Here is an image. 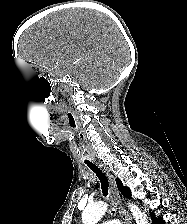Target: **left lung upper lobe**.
<instances>
[{
	"instance_id": "obj_1",
	"label": "left lung upper lobe",
	"mask_w": 187,
	"mask_h": 224,
	"mask_svg": "<svg viewBox=\"0 0 187 224\" xmlns=\"http://www.w3.org/2000/svg\"><path fill=\"white\" fill-rule=\"evenodd\" d=\"M117 187L119 191L127 198H131V191L128 187H124L122 182L117 178L116 179Z\"/></svg>"
}]
</instances>
